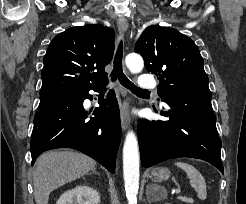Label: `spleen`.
<instances>
[{
	"mask_svg": "<svg viewBox=\"0 0 246 204\" xmlns=\"http://www.w3.org/2000/svg\"><path fill=\"white\" fill-rule=\"evenodd\" d=\"M176 166L183 169L190 180V185L196 190L198 198L205 200L207 196L206 181L201 173L192 165L185 162H176Z\"/></svg>",
	"mask_w": 246,
	"mask_h": 204,
	"instance_id": "obj_1",
	"label": "spleen"
}]
</instances>
